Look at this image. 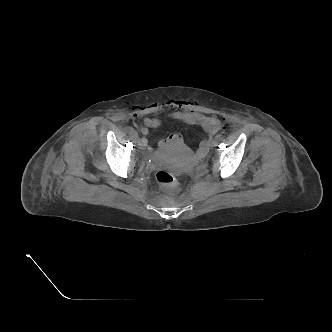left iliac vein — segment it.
Returning <instances> with one entry per match:
<instances>
[{
	"instance_id": "obj_1",
	"label": "left iliac vein",
	"mask_w": 332,
	"mask_h": 332,
	"mask_svg": "<svg viewBox=\"0 0 332 332\" xmlns=\"http://www.w3.org/2000/svg\"><path fill=\"white\" fill-rule=\"evenodd\" d=\"M217 144H218V140L215 138L212 142V146L215 147V146H217Z\"/></svg>"
}]
</instances>
